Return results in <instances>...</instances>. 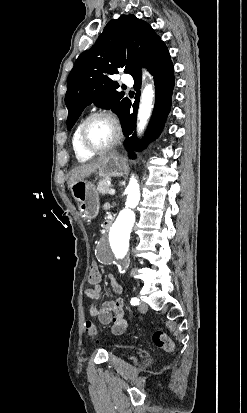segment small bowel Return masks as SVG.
I'll return each instance as SVG.
<instances>
[{"instance_id": "obj_1", "label": "small bowel", "mask_w": 247, "mask_h": 413, "mask_svg": "<svg viewBox=\"0 0 247 413\" xmlns=\"http://www.w3.org/2000/svg\"><path fill=\"white\" fill-rule=\"evenodd\" d=\"M107 291L111 296L113 294L122 293L123 288L117 278L111 277ZM100 296L101 287L100 289L86 290V298L90 301V304L88 305L89 315L98 317L99 322L103 325H112L113 333H123L127 328V321L125 319L123 309V300L120 298L112 299L105 302L101 307H99L95 302L100 298Z\"/></svg>"}]
</instances>
